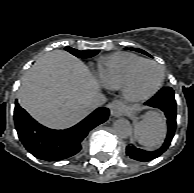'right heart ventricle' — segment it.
Masks as SVG:
<instances>
[{
	"mask_svg": "<svg viewBox=\"0 0 194 193\" xmlns=\"http://www.w3.org/2000/svg\"><path fill=\"white\" fill-rule=\"evenodd\" d=\"M144 58L129 52H116L100 60L97 75L110 88H121L130 70Z\"/></svg>",
	"mask_w": 194,
	"mask_h": 193,
	"instance_id": "obj_1",
	"label": "right heart ventricle"
}]
</instances>
